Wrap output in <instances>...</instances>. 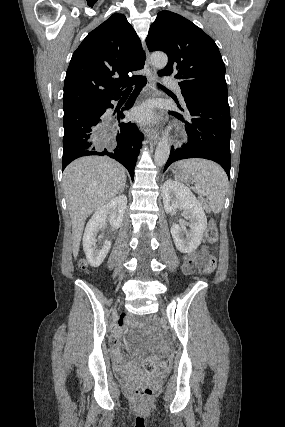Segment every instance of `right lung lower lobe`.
Masks as SVG:
<instances>
[{
  "label": "right lung lower lobe",
  "instance_id": "1",
  "mask_svg": "<svg viewBox=\"0 0 285 427\" xmlns=\"http://www.w3.org/2000/svg\"><path fill=\"white\" fill-rule=\"evenodd\" d=\"M145 77H139L134 83L135 91L126 103V109L133 106L140 89L146 84ZM122 94V93H121ZM121 94L73 107L64 112L63 161L62 170L76 158L89 155H108L120 162L134 177V168L141 148L143 135L131 122H120L125 115L115 116L119 122L116 128L114 148H105V136L109 133L106 111L112 108L111 100H117Z\"/></svg>",
  "mask_w": 285,
  "mask_h": 427
}]
</instances>
